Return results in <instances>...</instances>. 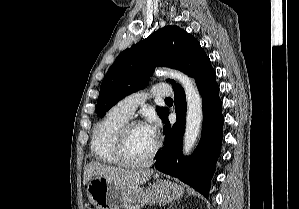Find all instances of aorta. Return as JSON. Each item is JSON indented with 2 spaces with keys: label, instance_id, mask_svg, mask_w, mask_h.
<instances>
[{
  "label": "aorta",
  "instance_id": "obj_1",
  "mask_svg": "<svg viewBox=\"0 0 299 209\" xmlns=\"http://www.w3.org/2000/svg\"><path fill=\"white\" fill-rule=\"evenodd\" d=\"M157 73L178 81L184 88L187 101V113L183 138V154L189 155L197 142L202 126L203 111L201 95L195 83L186 74L172 69H163Z\"/></svg>",
  "mask_w": 299,
  "mask_h": 209
}]
</instances>
